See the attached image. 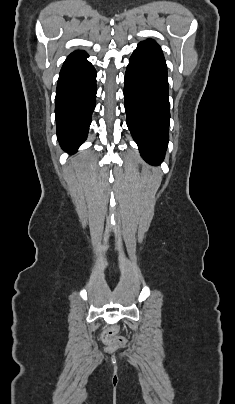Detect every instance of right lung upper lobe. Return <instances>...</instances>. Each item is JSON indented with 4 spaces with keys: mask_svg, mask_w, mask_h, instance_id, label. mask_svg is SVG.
Instances as JSON below:
<instances>
[{
    "mask_svg": "<svg viewBox=\"0 0 235 404\" xmlns=\"http://www.w3.org/2000/svg\"><path fill=\"white\" fill-rule=\"evenodd\" d=\"M81 56H87V53L84 51H75L69 55V57H81Z\"/></svg>",
    "mask_w": 235,
    "mask_h": 404,
    "instance_id": "cb5924a9",
    "label": "right lung upper lobe"
}]
</instances>
